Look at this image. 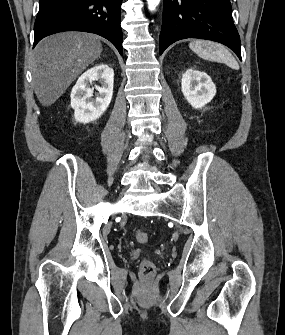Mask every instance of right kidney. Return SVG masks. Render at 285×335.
<instances>
[{"mask_svg": "<svg viewBox=\"0 0 285 335\" xmlns=\"http://www.w3.org/2000/svg\"><path fill=\"white\" fill-rule=\"evenodd\" d=\"M99 80L100 86H94L98 90L97 98H92V82ZM114 70L107 64H96L84 72L77 80L71 92V108L74 110L76 122L88 124L98 120L106 112L113 96Z\"/></svg>", "mask_w": 285, "mask_h": 335, "instance_id": "1", "label": "right kidney"}]
</instances>
